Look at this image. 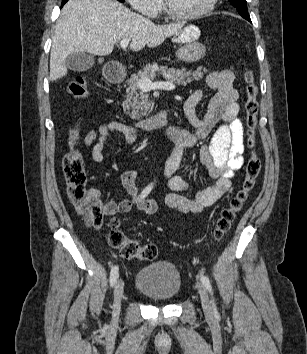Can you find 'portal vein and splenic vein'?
<instances>
[{
  "label": "portal vein and splenic vein",
  "mask_w": 307,
  "mask_h": 354,
  "mask_svg": "<svg viewBox=\"0 0 307 354\" xmlns=\"http://www.w3.org/2000/svg\"><path fill=\"white\" fill-rule=\"evenodd\" d=\"M129 42H130V39H124V40L120 41L121 48L126 49L129 45ZM138 86L144 92L155 90V89H165V90L175 89V85L170 81L152 82L150 79H146V78L140 79L138 81Z\"/></svg>",
  "instance_id": "obj_1"
}]
</instances>
